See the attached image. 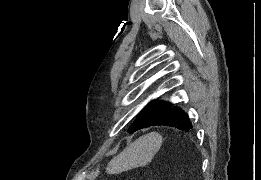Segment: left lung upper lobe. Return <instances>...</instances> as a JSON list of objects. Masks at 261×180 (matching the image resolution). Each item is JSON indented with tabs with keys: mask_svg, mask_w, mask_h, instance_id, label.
Here are the masks:
<instances>
[{
	"mask_svg": "<svg viewBox=\"0 0 261 180\" xmlns=\"http://www.w3.org/2000/svg\"><path fill=\"white\" fill-rule=\"evenodd\" d=\"M169 107V103L164 104L161 101L152 100L145 106L144 110L137 115L136 120L129 127L128 132L134 133L139 129L150 127Z\"/></svg>",
	"mask_w": 261,
	"mask_h": 180,
	"instance_id": "5c2ea615",
	"label": "left lung upper lobe"
}]
</instances>
